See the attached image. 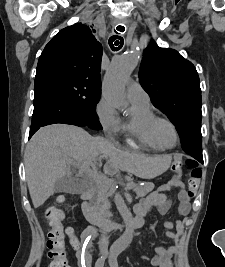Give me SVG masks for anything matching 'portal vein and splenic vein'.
Here are the masks:
<instances>
[{"instance_id":"obj_1","label":"portal vein and splenic vein","mask_w":225,"mask_h":267,"mask_svg":"<svg viewBox=\"0 0 225 267\" xmlns=\"http://www.w3.org/2000/svg\"><path fill=\"white\" fill-rule=\"evenodd\" d=\"M68 161H69V162H73L72 159H68ZM74 163H75L77 166L80 165V163H77V162H74ZM80 171H82V172L87 171V170H86V164H85V163L81 164V166H80ZM87 172H88V174H89L90 176H94V177H96V175H97L96 171H93V172H89V171H87Z\"/></svg>"}]
</instances>
